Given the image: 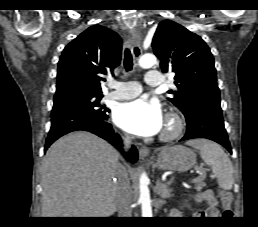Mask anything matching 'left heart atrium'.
<instances>
[{"instance_id":"39dd6f15","label":"left heart atrium","mask_w":258,"mask_h":227,"mask_svg":"<svg viewBox=\"0 0 258 227\" xmlns=\"http://www.w3.org/2000/svg\"><path fill=\"white\" fill-rule=\"evenodd\" d=\"M115 123L138 136H152L163 127L164 118L160 104L145 98L121 104L114 114Z\"/></svg>"}]
</instances>
